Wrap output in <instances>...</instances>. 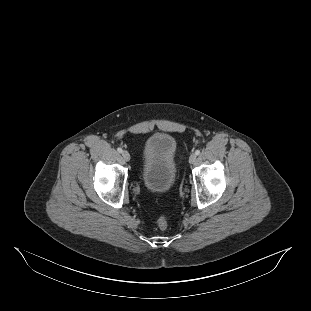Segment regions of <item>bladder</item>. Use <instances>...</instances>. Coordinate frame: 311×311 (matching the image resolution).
I'll use <instances>...</instances> for the list:
<instances>
[{
  "label": "bladder",
  "mask_w": 311,
  "mask_h": 311,
  "mask_svg": "<svg viewBox=\"0 0 311 311\" xmlns=\"http://www.w3.org/2000/svg\"><path fill=\"white\" fill-rule=\"evenodd\" d=\"M177 142L173 136L157 132L149 136L142 148L139 176L150 192L164 193L178 178Z\"/></svg>",
  "instance_id": "1"
}]
</instances>
